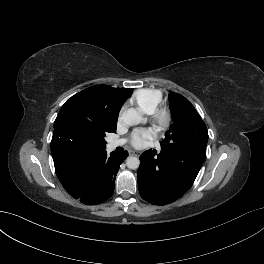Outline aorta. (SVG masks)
<instances>
[{"label":"aorta","mask_w":264,"mask_h":264,"mask_svg":"<svg viewBox=\"0 0 264 264\" xmlns=\"http://www.w3.org/2000/svg\"><path fill=\"white\" fill-rule=\"evenodd\" d=\"M122 121L126 125L133 126L144 122V119L137 110H135L134 108H130L123 112ZM126 165L130 169H137L140 165V161L137 157L130 156L126 159Z\"/></svg>","instance_id":"aorta-1"}]
</instances>
